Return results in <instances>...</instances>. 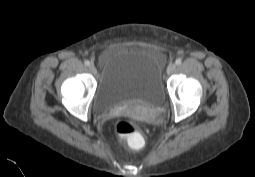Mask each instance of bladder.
I'll return each mask as SVG.
<instances>
[{
	"instance_id": "31cf9c89",
	"label": "bladder",
	"mask_w": 255,
	"mask_h": 177,
	"mask_svg": "<svg viewBox=\"0 0 255 177\" xmlns=\"http://www.w3.org/2000/svg\"><path fill=\"white\" fill-rule=\"evenodd\" d=\"M164 99L157 57L148 49L128 50L104 67L94 106L98 113H104L124 105L156 107Z\"/></svg>"
}]
</instances>
